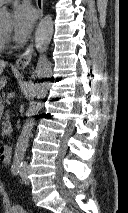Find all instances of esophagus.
Here are the masks:
<instances>
[{
	"label": "esophagus",
	"instance_id": "esophagus-1",
	"mask_svg": "<svg viewBox=\"0 0 128 213\" xmlns=\"http://www.w3.org/2000/svg\"><path fill=\"white\" fill-rule=\"evenodd\" d=\"M43 1L44 0H36V6L40 18L43 15ZM33 52H34L33 42H31V44L27 47V49L16 60L15 67L18 69H25L31 62Z\"/></svg>",
	"mask_w": 128,
	"mask_h": 213
}]
</instances>
